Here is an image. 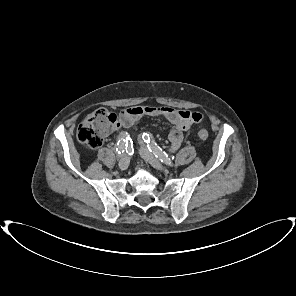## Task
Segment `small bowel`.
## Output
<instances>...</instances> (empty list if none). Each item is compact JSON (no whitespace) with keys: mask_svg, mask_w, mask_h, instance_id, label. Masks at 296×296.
<instances>
[{"mask_svg":"<svg viewBox=\"0 0 296 296\" xmlns=\"http://www.w3.org/2000/svg\"><path fill=\"white\" fill-rule=\"evenodd\" d=\"M193 114L190 111L170 107L135 106L127 108L120 113L119 124L124 129H128L144 116L164 117L172 124L168 137L170 149L175 151L183 142L184 132L194 123H197L192 118Z\"/></svg>","mask_w":296,"mask_h":296,"instance_id":"obj_1","label":"small bowel"}]
</instances>
